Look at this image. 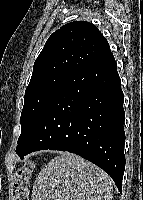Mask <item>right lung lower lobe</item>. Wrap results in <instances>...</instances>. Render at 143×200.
Here are the masks:
<instances>
[{"label": "right lung lower lobe", "instance_id": "obj_1", "mask_svg": "<svg viewBox=\"0 0 143 200\" xmlns=\"http://www.w3.org/2000/svg\"><path fill=\"white\" fill-rule=\"evenodd\" d=\"M124 95L113 54L71 74L33 119L16 152L75 153L107 172L119 191L125 170Z\"/></svg>", "mask_w": 143, "mask_h": 200}]
</instances>
